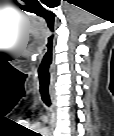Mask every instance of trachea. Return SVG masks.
Returning <instances> with one entry per match:
<instances>
[{
	"label": "trachea",
	"instance_id": "1",
	"mask_svg": "<svg viewBox=\"0 0 114 136\" xmlns=\"http://www.w3.org/2000/svg\"><path fill=\"white\" fill-rule=\"evenodd\" d=\"M41 72H42V75L47 77V81H40L39 90H40V94H41V98L43 102L49 107L51 105L50 94H49L50 74L48 71H41Z\"/></svg>",
	"mask_w": 114,
	"mask_h": 136
}]
</instances>
